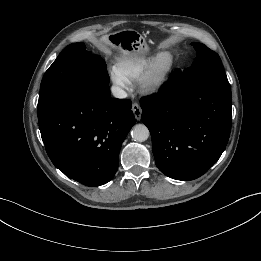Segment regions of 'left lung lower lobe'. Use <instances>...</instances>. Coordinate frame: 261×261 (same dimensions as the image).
<instances>
[{
    "mask_svg": "<svg viewBox=\"0 0 261 261\" xmlns=\"http://www.w3.org/2000/svg\"><path fill=\"white\" fill-rule=\"evenodd\" d=\"M176 69L157 95L141 100L156 166L166 176L193 180L224 151L232 121L231 89L225 73L196 75L183 88Z\"/></svg>",
    "mask_w": 261,
    "mask_h": 261,
    "instance_id": "obj_1",
    "label": "left lung lower lobe"
}]
</instances>
